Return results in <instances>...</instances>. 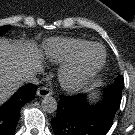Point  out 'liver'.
<instances>
[{"instance_id":"6515ba94","label":"liver","mask_w":135,"mask_h":135,"mask_svg":"<svg viewBox=\"0 0 135 135\" xmlns=\"http://www.w3.org/2000/svg\"><path fill=\"white\" fill-rule=\"evenodd\" d=\"M42 54L32 43L0 38V105L25 82L29 70L41 67Z\"/></svg>"}]
</instances>
